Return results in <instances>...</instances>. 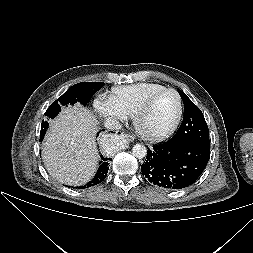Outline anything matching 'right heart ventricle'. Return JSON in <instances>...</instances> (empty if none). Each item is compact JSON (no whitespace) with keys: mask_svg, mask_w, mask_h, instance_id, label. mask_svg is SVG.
I'll return each mask as SVG.
<instances>
[{"mask_svg":"<svg viewBox=\"0 0 253 253\" xmlns=\"http://www.w3.org/2000/svg\"><path fill=\"white\" fill-rule=\"evenodd\" d=\"M163 88H165L163 85L157 83L115 87L109 99L124 118H131L148 96Z\"/></svg>","mask_w":253,"mask_h":253,"instance_id":"e07e8e85","label":"right heart ventricle"}]
</instances>
